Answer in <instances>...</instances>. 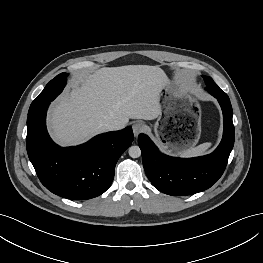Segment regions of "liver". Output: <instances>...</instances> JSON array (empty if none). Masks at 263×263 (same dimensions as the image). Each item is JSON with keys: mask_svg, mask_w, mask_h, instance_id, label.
<instances>
[{"mask_svg": "<svg viewBox=\"0 0 263 263\" xmlns=\"http://www.w3.org/2000/svg\"><path fill=\"white\" fill-rule=\"evenodd\" d=\"M169 82L158 66L104 67L76 77L72 90L51 108L52 137L61 145H76L107 131L116 120H153L161 115L160 93Z\"/></svg>", "mask_w": 263, "mask_h": 263, "instance_id": "1", "label": "liver"}]
</instances>
